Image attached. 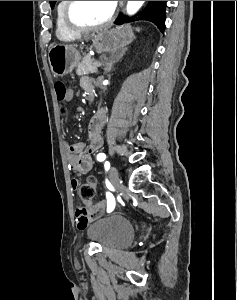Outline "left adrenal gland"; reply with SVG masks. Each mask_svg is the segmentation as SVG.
Returning a JSON list of instances; mask_svg holds the SVG:
<instances>
[{"label":"left adrenal gland","mask_w":237,"mask_h":300,"mask_svg":"<svg viewBox=\"0 0 237 300\" xmlns=\"http://www.w3.org/2000/svg\"><path fill=\"white\" fill-rule=\"evenodd\" d=\"M126 51L127 47H122V49H119V51H117L115 55H112V57H102L101 61L103 63L105 73H111L113 65H115V63H118L120 59H123Z\"/></svg>","instance_id":"a2214340"}]
</instances>
